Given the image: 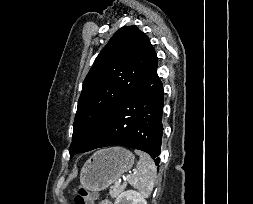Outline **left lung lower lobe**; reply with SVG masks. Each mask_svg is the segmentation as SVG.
I'll return each instance as SVG.
<instances>
[{
    "label": "left lung lower lobe",
    "instance_id": "1",
    "mask_svg": "<svg viewBox=\"0 0 253 204\" xmlns=\"http://www.w3.org/2000/svg\"><path fill=\"white\" fill-rule=\"evenodd\" d=\"M163 100V85L157 75L155 53L141 81L113 112L85 151L120 145L147 152L158 165L163 135Z\"/></svg>",
    "mask_w": 253,
    "mask_h": 204
}]
</instances>
